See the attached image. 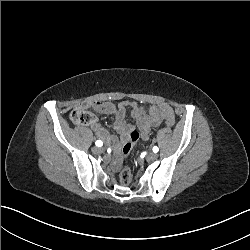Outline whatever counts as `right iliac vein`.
Listing matches in <instances>:
<instances>
[{"label": "right iliac vein", "mask_w": 250, "mask_h": 250, "mask_svg": "<svg viewBox=\"0 0 250 250\" xmlns=\"http://www.w3.org/2000/svg\"><path fill=\"white\" fill-rule=\"evenodd\" d=\"M92 151H93V153H95V154H99V153H102V152H103V150H102L101 148L97 147V146L93 147V148H92Z\"/></svg>", "instance_id": "1"}]
</instances>
